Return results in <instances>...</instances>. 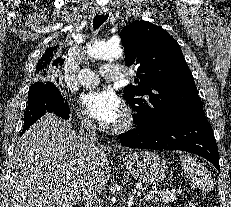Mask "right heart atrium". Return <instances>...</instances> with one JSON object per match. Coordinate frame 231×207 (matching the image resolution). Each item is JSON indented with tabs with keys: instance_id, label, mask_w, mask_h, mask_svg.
Segmentation results:
<instances>
[{
	"instance_id": "right-heart-atrium-1",
	"label": "right heart atrium",
	"mask_w": 231,
	"mask_h": 207,
	"mask_svg": "<svg viewBox=\"0 0 231 207\" xmlns=\"http://www.w3.org/2000/svg\"><path fill=\"white\" fill-rule=\"evenodd\" d=\"M78 116H79V120L80 123L83 127L85 128H91L93 126L92 121L90 120V118L86 115L85 112L83 111H79L78 112Z\"/></svg>"
}]
</instances>
